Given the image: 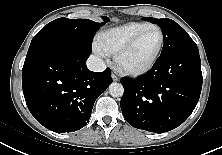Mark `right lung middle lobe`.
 <instances>
[{
	"label": "right lung middle lobe",
	"mask_w": 222,
	"mask_h": 155,
	"mask_svg": "<svg viewBox=\"0 0 222 155\" xmlns=\"http://www.w3.org/2000/svg\"><path fill=\"white\" fill-rule=\"evenodd\" d=\"M102 18L103 23L88 19L58 18L53 20L33 37L25 61L58 48L91 50L96 31L109 21L105 16Z\"/></svg>",
	"instance_id": "dd1d6c3e"
}]
</instances>
